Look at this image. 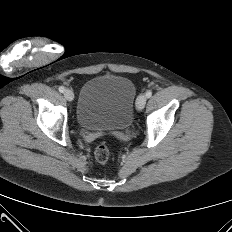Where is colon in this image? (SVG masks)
<instances>
[{"label": "colon", "mask_w": 232, "mask_h": 232, "mask_svg": "<svg viewBox=\"0 0 232 232\" xmlns=\"http://www.w3.org/2000/svg\"><path fill=\"white\" fill-rule=\"evenodd\" d=\"M95 159L100 163H105L110 157V150L107 145L100 144L94 152Z\"/></svg>", "instance_id": "obj_1"}]
</instances>
